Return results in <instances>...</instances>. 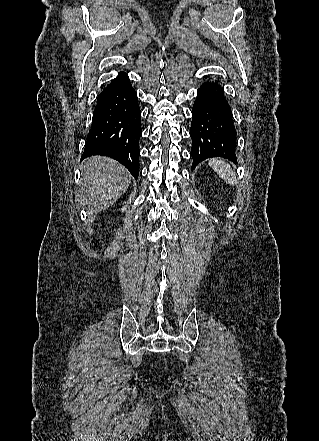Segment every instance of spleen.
Here are the masks:
<instances>
[{
    "instance_id": "obj_1",
    "label": "spleen",
    "mask_w": 319,
    "mask_h": 441,
    "mask_svg": "<svg viewBox=\"0 0 319 441\" xmlns=\"http://www.w3.org/2000/svg\"><path fill=\"white\" fill-rule=\"evenodd\" d=\"M209 165L212 169L231 186L237 185L236 175L230 165L222 160L211 159Z\"/></svg>"
}]
</instances>
